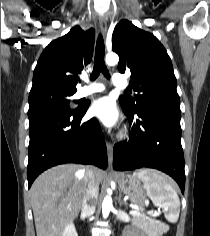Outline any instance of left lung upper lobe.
<instances>
[{"instance_id":"left-lung-upper-lobe-1","label":"left lung upper lobe","mask_w":210,"mask_h":236,"mask_svg":"<svg viewBox=\"0 0 210 236\" xmlns=\"http://www.w3.org/2000/svg\"><path fill=\"white\" fill-rule=\"evenodd\" d=\"M112 49L120 57L119 71H131L130 86L138 92L134 97L119 98L125 110L135 113L151 104L180 107L171 59L153 34L122 20L113 31Z\"/></svg>"}]
</instances>
